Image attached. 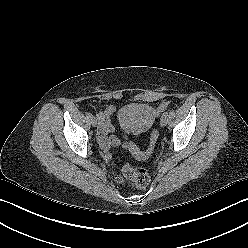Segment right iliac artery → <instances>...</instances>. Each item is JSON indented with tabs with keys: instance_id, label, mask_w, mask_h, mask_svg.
I'll use <instances>...</instances> for the list:
<instances>
[{
	"instance_id": "right-iliac-artery-1",
	"label": "right iliac artery",
	"mask_w": 248,
	"mask_h": 248,
	"mask_svg": "<svg viewBox=\"0 0 248 248\" xmlns=\"http://www.w3.org/2000/svg\"><path fill=\"white\" fill-rule=\"evenodd\" d=\"M93 115L91 113H87V117L91 118Z\"/></svg>"
}]
</instances>
